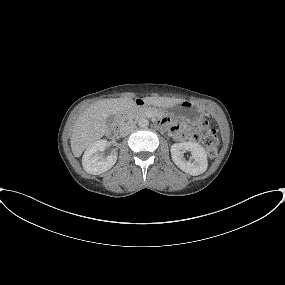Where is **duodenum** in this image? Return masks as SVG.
I'll return each mask as SVG.
<instances>
[{"instance_id": "410a0bca", "label": "duodenum", "mask_w": 285, "mask_h": 285, "mask_svg": "<svg viewBox=\"0 0 285 285\" xmlns=\"http://www.w3.org/2000/svg\"><path fill=\"white\" fill-rule=\"evenodd\" d=\"M144 107H145L144 100L137 98L133 101V109L131 110V112L135 115L141 116ZM123 115H124V112L120 113L118 117L116 118L115 124L112 127L113 133L118 134L124 128Z\"/></svg>"}]
</instances>
